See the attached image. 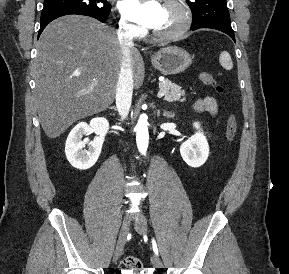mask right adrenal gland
Returning a JSON list of instances; mask_svg holds the SVG:
<instances>
[{
	"label": "right adrenal gland",
	"mask_w": 289,
	"mask_h": 274,
	"mask_svg": "<svg viewBox=\"0 0 289 274\" xmlns=\"http://www.w3.org/2000/svg\"><path fill=\"white\" fill-rule=\"evenodd\" d=\"M109 109H112V110H114V111H116V107H109Z\"/></svg>",
	"instance_id": "2a0ac1e0"
}]
</instances>
